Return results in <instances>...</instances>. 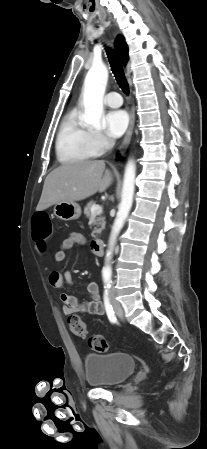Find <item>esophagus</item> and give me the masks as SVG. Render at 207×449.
<instances>
[{"mask_svg": "<svg viewBox=\"0 0 207 449\" xmlns=\"http://www.w3.org/2000/svg\"><path fill=\"white\" fill-rule=\"evenodd\" d=\"M134 124H135V112H134V109L132 108L131 112H130L129 127L127 129V132H126V134L124 136V139L122 141V144L120 146V151L121 152H123V150L127 147V145L130 142V139H131V136H132V133H133V129H134Z\"/></svg>", "mask_w": 207, "mask_h": 449, "instance_id": "34e87169", "label": "esophagus"}]
</instances>
